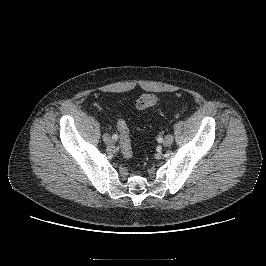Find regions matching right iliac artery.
<instances>
[{"label":"right iliac artery","instance_id":"right-iliac-artery-1","mask_svg":"<svg viewBox=\"0 0 266 266\" xmlns=\"http://www.w3.org/2000/svg\"><path fill=\"white\" fill-rule=\"evenodd\" d=\"M117 138H118V137H117L116 134L112 136V139H113V140H117Z\"/></svg>","mask_w":266,"mask_h":266}]
</instances>
